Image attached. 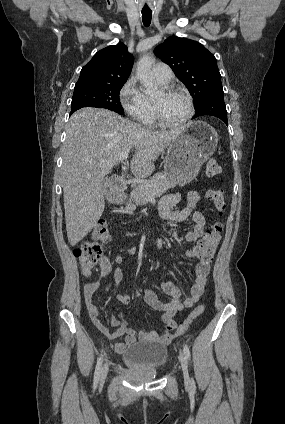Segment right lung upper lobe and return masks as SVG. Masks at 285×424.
<instances>
[{"label":"right lung upper lobe","mask_w":285,"mask_h":424,"mask_svg":"<svg viewBox=\"0 0 285 424\" xmlns=\"http://www.w3.org/2000/svg\"><path fill=\"white\" fill-rule=\"evenodd\" d=\"M134 58L127 46L118 43L98 51L80 73L75 86L86 84H114L126 82L133 66Z\"/></svg>","instance_id":"cb5924a9"}]
</instances>
